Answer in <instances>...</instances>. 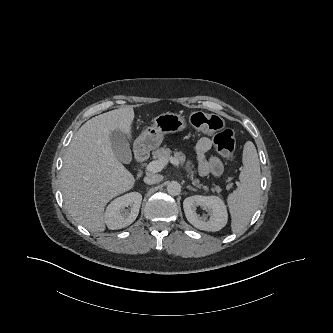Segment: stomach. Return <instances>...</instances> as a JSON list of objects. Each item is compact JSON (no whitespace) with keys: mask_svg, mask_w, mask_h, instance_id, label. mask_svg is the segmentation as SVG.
<instances>
[{"mask_svg":"<svg viewBox=\"0 0 333 333\" xmlns=\"http://www.w3.org/2000/svg\"><path fill=\"white\" fill-rule=\"evenodd\" d=\"M186 128V120L183 116L166 112L154 118L153 124L147 127L136 139L135 148L140 151H151L158 148L164 135L176 133Z\"/></svg>","mask_w":333,"mask_h":333,"instance_id":"1","label":"stomach"}]
</instances>
